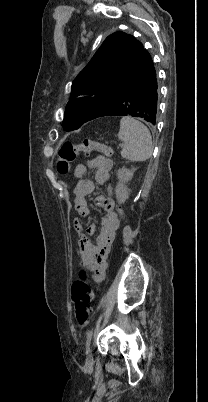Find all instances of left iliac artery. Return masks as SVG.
I'll return each mask as SVG.
<instances>
[{
  "instance_id": "obj_1",
  "label": "left iliac artery",
  "mask_w": 208,
  "mask_h": 402,
  "mask_svg": "<svg viewBox=\"0 0 208 402\" xmlns=\"http://www.w3.org/2000/svg\"><path fill=\"white\" fill-rule=\"evenodd\" d=\"M92 334H93V329L89 331L88 336H87V340H86V343H85V345H86V353H88V351H89V347H90L91 339H92Z\"/></svg>"
}]
</instances>
